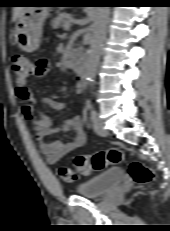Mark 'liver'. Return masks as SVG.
<instances>
[{"mask_svg": "<svg viewBox=\"0 0 170 231\" xmlns=\"http://www.w3.org/2000/svg\"><path fill=\"white\" fill-rule=\"evenodd\" d=\"M25 10V7H14L12 21H16L19 15Z\"/></svg>", "mask_w": 170, "mask_h": 231, "instance_id": "1", "label": "liver"}]
</instances>
